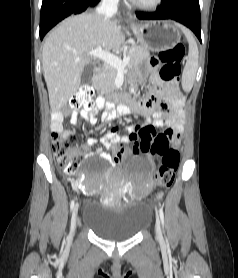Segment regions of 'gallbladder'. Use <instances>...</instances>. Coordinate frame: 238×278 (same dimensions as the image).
Returning <instances> with one entry per match:
<instances>
[{
    "instance_id": "gallbladder-1",
    "label": "gallbladder",
    "mask_w": 238,
    "mask_h": 278,
    "mask_svg": "<svg viewBox=\"0 0 238 278\" xmlns=\"http://www.w3.org/2000/svg\"><path fill=\"white\" fill-rule=\"evenodd\" d=\"M92 75H93V65L92 64H87L84 67V70L81 75V84H88L92 80Z\"/></svg>"
}]
</instances>
